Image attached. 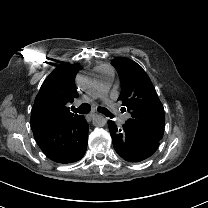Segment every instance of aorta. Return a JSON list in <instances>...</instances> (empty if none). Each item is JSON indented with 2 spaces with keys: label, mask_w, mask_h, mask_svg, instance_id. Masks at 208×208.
<instances>
[{
  "label": "aorta",
  "mask_w": 208,
  "mask_h": 208,
  "mask_svg": "<svg viewBox=\"0 0 208 208\" xmlns=\"http://www.w3.org/2000/svg\"><path fill=\"white\" fill-rule=\"evenodd\" d=\"M106 118L103 116V115H94L93 116V120H92V123L95 127H103L106 125Z\"/></svg>",
  "instance_id": "1"
}]
</instances>
